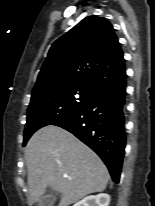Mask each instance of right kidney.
I'll list each match as a JSON object with an SVG mask.
<instances>
[{"instance_id": "right-kidney-1", "label": "right kidney", "mask_w": 155, "mask_h": 206, "mask_svg": "<svg viewBox=\"0 0 155 206\" xmlns=\"http://www.w3.org/2000/svg\"><path fill=\"white\" fill-rule=\"evenodd\" d=\"M110 202V196L105 193L98 195H91L85 197L81 201L77 202L73 206H108Z\"/></svg>"}]
</instances>
